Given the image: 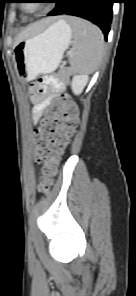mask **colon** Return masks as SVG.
Returning <instances> with one entry per match:
<instances>
[{
  "instance_id": "1",
  "label": "colon",
  "mask_w": 136,
  "mask_h": 296,
  "mask_svg": "<svg viewBox=\"0 0 136 296\" xmlns=\"http://www.w3.org/2000/svg\"><path fill=\"white\" fill-rule=\"evenodd\" d=\"M52 79V77H44ZM43 79V78H42ZM77 107L68 94L55 98L43 112L40 126L33 135L34 159L43 162L39 191L48 193L57 168L77 126Z\"/></svg>"
}]
</instances>
